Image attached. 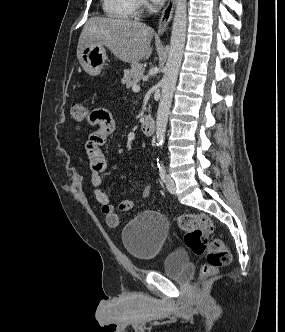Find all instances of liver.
Listing matches in <instances>:
<instances>
[{"mask_svg":"<svg viewBox=\"0 0 285 332\" xmlns=\"http://www.w3.org/2000/svg\"><path fill=\"white\" fill-rule=\"evenodd\" d=\"M154 31L139 21L91 17L83 27L77 46V58L87 45L107 47L115 57L127 63H138L148 59Z\"/></svg>","mask_w":285,"mask_h":332,"instance_id":"liver-1","label":"liver"}]
</instances>
